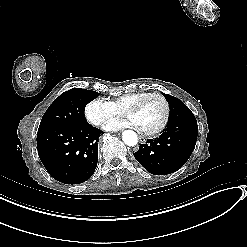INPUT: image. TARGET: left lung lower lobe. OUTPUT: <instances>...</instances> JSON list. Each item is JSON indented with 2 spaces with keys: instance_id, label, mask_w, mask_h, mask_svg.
<instances>
[{
  "instance_id": "0a47b994",
  "label": "left lung lower lobe",
  "mask_w": 247,
  "mask_h": 247,
  "mask_svg": "<svg viewBox=\"0 0 247 247\" xmlns=\"http://www.w3.org/2000/svg\"><path fill=\"white\" fill-rule=\"evenodd\" d=\"M197 135V122L168 125L158 138L141 144L134 157L152 174H171L187 162L195 148Z\"/></svg>"
}]
</instances>
